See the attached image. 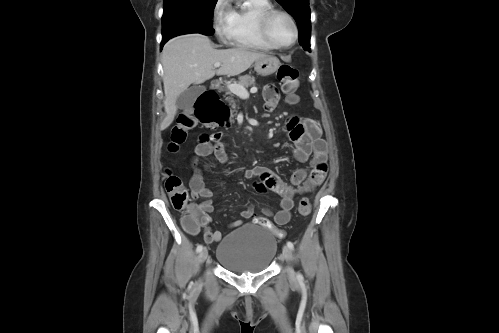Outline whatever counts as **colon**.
<instances>
[{"label": "colon", "instance_id": "colon-1", "mask_svg": "<svg viewBox=\"0 0 499 333\" xmlns=\"http://www.w3.org/2000/svg\"><path fill=\"white\" fill-rule=\"evenodd\" d=\"M277 78L281 83L287 102L289 104H297L299 102V96L297 94L299 86L297 69L291 65H282L278 69ZM211 99L215 108V116L208 121L207 125L214 127L225 122L229 111L217 93L212 94ZM196 124L197 120L193 116L187 114L181 115L178 118L177 123L171 129L168 150L176 152L186 141L188 132L193 129ZM165 190L169 195L174 208L185 212L183 217L184 227L191 232L198 231L205 217L198 205L189 202L188 193L182 179L168 171L165 179ZM310 211L311 203L309 199L302 198L298 206L299 215L307 216ZM254 221L269 229L277 237L282 238L284 236V233L276 228L267 218L255 217Z\"/></svg>", "mask_w": 499, "mask_h": 333}]
</instances>
